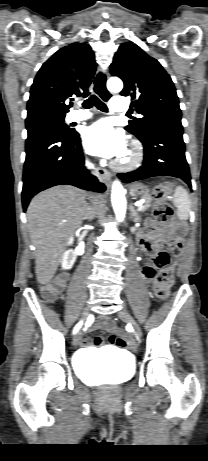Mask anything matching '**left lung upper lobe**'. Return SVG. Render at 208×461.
<instances>
[{
	"label": "left lung upper lobe",
	"mask_w": 208,
	"mask_h": 461,
	"mask_svg": "<svg viewBox=\"0 0 208 461\" xmlns=\"http://www.w3.org/2000/svg\"><path fill=\"white\" fill-rule=\"evenodd\" d=\"M113 76L124 82L122 96L133 99L132 106L142 118L125 127L139 139L159 125L181 124V109L174 84L161 64L133 43L120 45L110 65Z\"/></svg>",
	"instance_id": "1"
}]
</instances>
